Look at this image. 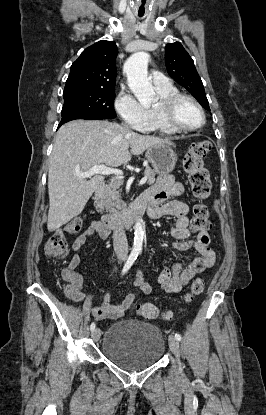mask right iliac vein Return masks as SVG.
I'll return each instance as SVG.
<instances>
[{"label":"right iliac vein","instance_id":"obj_1","mask_svg":"<svg viewBox=\"0 0 266 415\" xmlns=\"http://www.w3.org/2000/svg\"><path fill=\"white\" fill-rule=\"evenodd\" d=\"M100 336L101 330L99 328L94 329L91 333V337L95 342H97L100 339Z\"/></svg>","mask_w":266,"mask_h":415}]
</instances>
